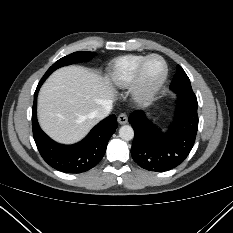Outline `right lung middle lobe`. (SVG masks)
Masks as SVG:
<instances>
[{
	"label": "right lung middle lobe",
	"mask_w": 233,
	"mask_h": 233,
	"mask_svg": "<svg viewBox=\"0 0 233 233\" xmlns=\"http://www.w3.org/2000/svg\"><path fill=\"white\" fill-rule=\"evenodd\" d=\"M96 55L95 52H74L72 54H69L61 59H59L58 61H56L45 73V75L42 77V81H45L47 79V77L56 69L62 67V66H66V65H70L73 63H77L80 61H87L91 58H93Z\"/></svg>",
	"instance_id": "dd1d6c3e"
}]
</instances>
